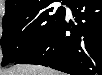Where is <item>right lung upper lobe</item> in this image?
I'll list each match as a JSON object with an SVG mask.
<instances>
[{"label":"right lung upper lobe","mask_w":102,"mask_h":75,"mask_svg":"<svg viewBox=\"0 0 102 75\" xmlns=\"http://www.w3.org/2000/svg\"><path fill=\"white\" fill-rule=\"evenodd\" d=\"M52 1H55V0H6L5 14L14 13L24 9L35 8L44 3H48Z\"/></svg>","instance_id":"cb5924a9"}]
</instances>
